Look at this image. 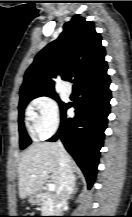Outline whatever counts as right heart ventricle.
<instances>
[{"label":"right heart ventricle","mask_w":132,"mask_h":217,"mask_svg":"<svg viewBox=\"0 0 132 217\" xmlns=\"http://www.w3.org/2000/svg\"><path fill=\"white\" fill-rule=\"evenodd\" d=\"M29 126V128L32 130V127L30 126V125H28Z\"/></svg>","instance_id":"obj_1"}]
</instances>
